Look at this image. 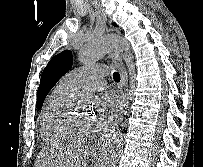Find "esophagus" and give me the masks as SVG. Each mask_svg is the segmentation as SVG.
Segmentation results:
<instances>
[{
  "instance_id": "34e87169",
  "label": "esophagus",
  "mask_w": 203,
  "mask_h": 167,
  "mask_svg": "<svg viewBox=\"0 0 203 167\" xmlns=\"http://www.w3.org/2000/svg\"><path fill=\"white\" fill-rule=\"evenodd\" d=\"M111 58H112L113 62L115 63L116 67L119 69V72L121 74L120 91L123 95V109H122V112H121L119 118L117 119L115 124L112 126V128L109 130V132L105 135H102L99 138V140L96 142V144L94 145L93 151L95 153L102 152L109 137L112 136V134H114L116 130H118L121 122L123 121V119L127 113L128 107H129L127 72H126V68H125V64H124L122 55L117 51H113V52H111Z\"/></svg>"
}]
</instances>
